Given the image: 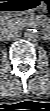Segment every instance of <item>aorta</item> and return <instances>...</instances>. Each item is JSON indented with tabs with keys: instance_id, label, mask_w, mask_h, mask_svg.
Masks as SVG:
<instances>
[{
	"instance_id": "762f6f07",
	"label": "aorta",
	"mask_w": 50,
	"mask_h": 111,
	"mask_svg": "<svg viewBox=\"0 0 50 111\" xmlns=\"http://www.w3.org/2000/svg\"><path fill=\"white\" fill-rule=\"evenodd\" d=\"M38 36L37 30L36 29H27L24 37L29 40V41H34Z\"/></svg>"
}]
</instances>
